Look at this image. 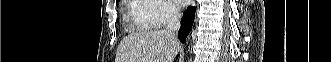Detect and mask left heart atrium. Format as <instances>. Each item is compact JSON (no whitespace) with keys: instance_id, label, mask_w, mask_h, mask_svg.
Instances as JSON below:
<instances>
[{"instance_id":"obj_1","label":"left heart atrium","mask_w":331,"mask_h":62,"mask_svg":"<svg viewBox=\"0 0 331 62\" xmlns=\"http://www.w3.org/2000/svg\"><path fill=\"white\" fill-rule=\"evenodd\" d=\"M187 0H174V3L178 6H184L186 4Z\"/></svg>"}]
</instances>
